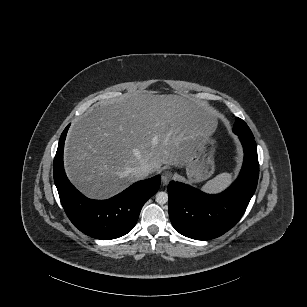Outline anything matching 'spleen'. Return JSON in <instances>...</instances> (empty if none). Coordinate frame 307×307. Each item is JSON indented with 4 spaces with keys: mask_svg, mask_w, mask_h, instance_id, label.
<instances>
[{
    "mask_svg": "<svg viewBox=\"0 0 307 307\" xmlns=\"http://www.w3.org/2000/svg\"><path fill=\"white\" fill-rule=\"evenodd\" d=\"M232 182V175L229 173H222L217 175L212 180H209L202 190L208 193H218L225 189Z\"/></svg>",
    "mask_w": 307,
    "mask_h": 307,
    "instance_id": "3e777b00",
    "label": "spleen"
}]
</instances>
